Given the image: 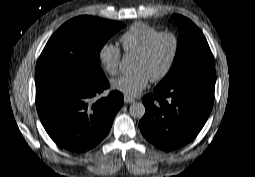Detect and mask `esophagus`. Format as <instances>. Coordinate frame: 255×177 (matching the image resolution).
I'll return each mask as SVG.
<instances>
[{"mask_svg":"<svg viewBox=\"0 0 255 177\" xmlns=\"http://www.w3.org/2000/svg\"><path fill=\"white\" fill-rule=\"evenodd\" d=\"M135 100L128 97V96H124V103L128 104V103H133Z\"/></svg>","mask_w":255,"mask_h":177,"instance_id":"34e87169","label":"esophagus"}]
</instances>
